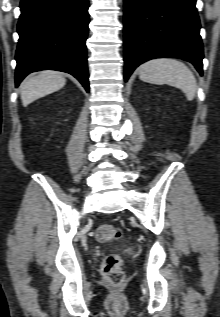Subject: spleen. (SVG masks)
<instances>
[{"instance_id":"spleen-1","label":"spleen","mask_w":220,"mask_h":317,"mask_svg":"<svg viewBox=\"0 0 220 317\" xmlns=\"http://www.w3.org/2000/svg\"><path fill=\"white\" fill-rule=\"evenodd\" d=\"M142 81L168 84L181 89L189 100L195 97L197 83L192 71L173 58H157L147 61L138 68Z\"/></svg>"}]
</instances>
